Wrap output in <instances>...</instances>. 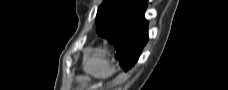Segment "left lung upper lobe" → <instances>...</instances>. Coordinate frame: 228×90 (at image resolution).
<instances>
[{"label":"left lung upper lobe","instance_id":"obj_1","mask_svg":"<svg viewBox=\"0 0 228 90\" xmlns=\"http://www.w3.org/2000/svg\"><path fill=\"white\" fill-rule=\"evenodd\" d=\"M133 1L134 0H103L96 16L97 33L100 35L115 25L121 12L136 10L137 6L133 5Z\"/></svg>","mask_w":228,"mask_h":90}]
</instances>
